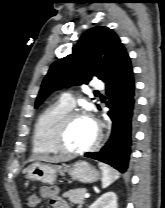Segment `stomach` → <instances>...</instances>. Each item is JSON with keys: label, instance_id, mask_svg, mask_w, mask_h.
Here are the masks:
<instances>
[{"label": "stomach", "instance_id": "obj_1", "mask_svg": "<svg viewBox=\"0 0 165 208\" xmlns=\"http://www.w3.org/2000/svg\"><path fill=\"white\" fill-rule=\"evenodd\" d=\"M68 172L72 179L81 183H94L99 180V172L86 161H79L72 166H56L34 162L26 170V178L30 181H40L45 184H53L58 173Z\"/></svg>", "mask_w": 165, "mask_h": 208}]
</instances>
